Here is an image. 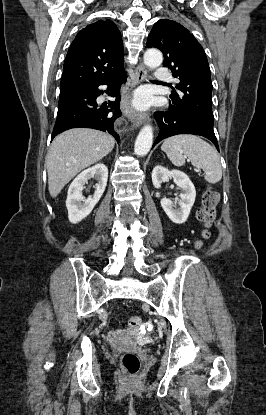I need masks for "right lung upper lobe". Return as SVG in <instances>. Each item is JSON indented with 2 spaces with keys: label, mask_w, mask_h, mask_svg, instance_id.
Returning a JSON list of instances; mask_svg holds the SVG:
<instances>
[{
  "label": "right lung upper lobe",
  "mask_w": 266,
  "mask_h": 415,
  "mask_svg": "<svg viewBox=\"0 0 266 415\" xmlns=\"http://www.w3.org/2000/svg\"><path fill=\"white\" fill-rule=\"evenodd\" d=\"M123 42L111 20H99L73 40L63 66L60 92L100 81L124 70Z\"/></svg>",
  "instance_id": "1"
}]
</instances>
